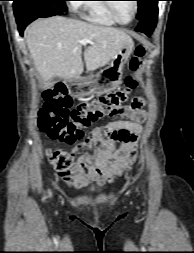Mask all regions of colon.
<instances>
[{"instance_id": "5ec220e1", "label": "colon", "mask_w": 194, "mask_h": 253, "mask_svg": "<svg viewBox=\"0 0 194 253\" xmlns=\"http://www.w3.org/2000/svg\"><path fill=\"white\" fill-rule=\"evenodd\" d=\"M145 53L143 45L136 46L129 63L131 71H136L140 67ZM136 87V79L129 75L123 88L82 102L74 108L64 85L49 88L43 92L45 104L40 111V128L54 141L73 144L84 137L85 128L122 108ZM47 155L59 172L68 170L72 165L71 156L61 149L48 150Z\"/></svg>"}]
</instances>
